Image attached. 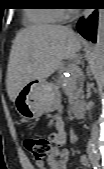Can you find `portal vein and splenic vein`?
I'll return each instance as SVG.
<instances>
[{"instance_id": "obj_1", "label": "portal vein and splenic vein", "mask_w": 104, "mask_h": 169, "mask_svg": "<svg viewBox=\"0 0 104 169\" xmlns=\"http://www.w3.org/2000/svg\"><path fill=\"white\" fill-rule=\"evenodd\" d=\"M69 72H70L71 74L77 75V73L79 72L78 66L75 65V64L69 65Z\"/></svg>"}]
</instances>
